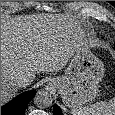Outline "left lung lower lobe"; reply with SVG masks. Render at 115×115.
Returning a JSON list of instances; mask_svg holds the SVG:
<instances>
[{"label":"left lung lower lobe","mask_w":115,"mask_h":115,"mask_svg":"<svg viewBox=\"0 0 115 115\" xmlns=\"http://www.w3.org/2000/svg\"><path fill=\"white\" fill-rule=\"evenodd\" d=\"M54 115H62V112L57 105H54Z\"/></svg>","instance_id":"0a47b994"}]
</instances>
